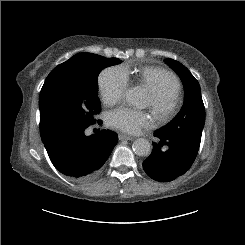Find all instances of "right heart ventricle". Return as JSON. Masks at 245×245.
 Wrapping results in <instances>:
<instances>
[{
  "label": "right heart ventricle",
  "mask_w": 245,
  "mask_h": 245,
  "mask_svg": "<svg viewBox=\"0 0 245 245\" xmlns=\"http://www.w3.org/2000/svg\"><path fill=\"white\" fill-rule=\"evenodd\" d=\"M127 78H130V71L124 68ZM172 75V77H170ZM136 79L148 90L156 89L164 84H170L179 94L180 83L178 79L165 69L156 66H148L139 70Z\"/></svg>",
  "instance_id": "right-heart-ventricle-1"
}]
</instances>
